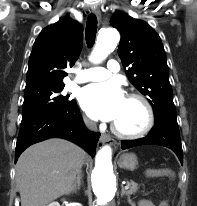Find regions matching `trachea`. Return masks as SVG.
Masks as SVG:
<instances>
[{"label":"trachea","mask_w":197,"mask_h":206,"mask_svg":"<svg viewBox=\"0 0 197 206\" xmlns=\"http://www.w3.org/2000/svg\"><path fill=\"white\" fill-rule=\"evenodd\" d=\"M97 33V19L94 15H90L86 24L85 39L89 47L94 44Z\"/></svg>","instance_id":"3493384b"}]
</instances>
